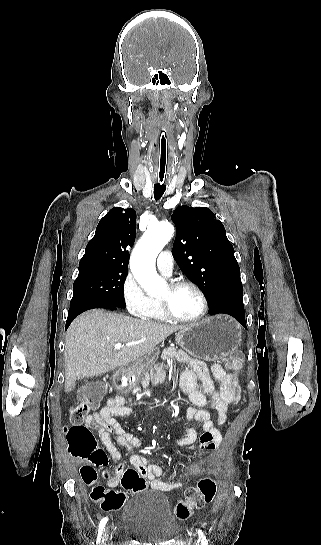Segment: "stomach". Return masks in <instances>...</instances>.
Wrapping results in <instances>:
<instances>
[{"mask_svg": "<svg viewBox=\"0 0 321 545\" xmlns=\"http://www.w3.org/2000/svg\"><path fill=\"white\" fill-rule=\"evenodd\" d=\"M241 327L235 319L227 315H215L207 317L200 323H193L175 333V341L181 349L187 351L195 359L203 361H218L220 357H226L231 351L241 345ZM158 349H153L147 355H143L137 361L130 363L128 367H119L115 371V385L119 377H125V371H149L154 367L158 359ZM119 387V385H116ZM127 389V387H125Z\"/></svg>", "mask_w": 321, "mask_h": 545, "instance_id": "obj_1", "label": "stomach"}]
</instances>
